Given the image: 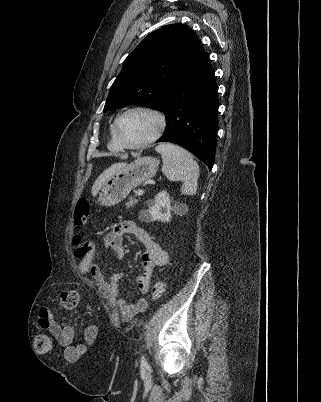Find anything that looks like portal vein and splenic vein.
I'll return each instance as SVG.
<instances>
[{
    "label": "portal vein and splenic vein",
    "mask_w": 321,
    "mask_h": 402,
    "mask_svg": "<svg viewBox=\"0 0 321 402\" xmlns=\"http://www.w3.org/2000/svg\"><path fill=\"white\" fill-rule=\"evenodd\" d=\"M135 194H136V196H141V195H143V190L140 189V190L136 191Z\"/></svg>",
    "instance_id": "obj_1"
}]
</instances>
